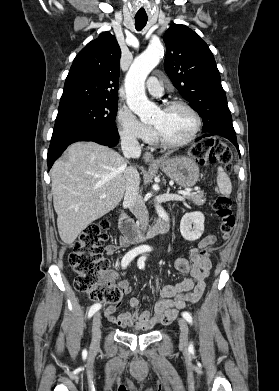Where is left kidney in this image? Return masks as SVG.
Wrapping results in <instances>:
<instances>
[{
    "label": "left kidney",
    "mask_w": 279,
    "mask_h": 391,
    "mask_svg": "<svg viewBox=\"0 0 279 391\" xmlns=\"http://www.w3.org/2000/svg\"><path fill=\"white\" fill-rule=\"evenodd\" d=\"M205 217L201 212L186 213L180 222V232L184 239L194 241L201 237L204 231Z\"/></svg>",
    "instance_id": "left-kidney-1"
}]
</instances>
